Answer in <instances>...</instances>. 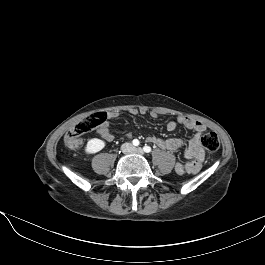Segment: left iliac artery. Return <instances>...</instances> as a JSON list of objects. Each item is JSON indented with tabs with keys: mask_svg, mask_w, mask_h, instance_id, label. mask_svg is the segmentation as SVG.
I'll return each mask as SVG.
<instances>
[{
	"mask_svg": "<svg viewBox=\"0 0 265 265\" xmlns=\"http://www.w3.org/2000/svg\"><path fill=\"white\" fill-rule=\"evenodd\" d=\"M143 150H144V152L149 153V152H151V147H149V146H144V147H143Z\"/></svg>",
	"mask_w": 265,
	"mask_h": 265,
	"instance_id": "44dca946",
	"label": "left iliac artery"
}]
</instances>
